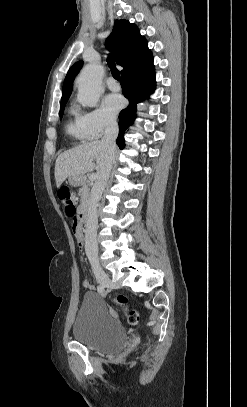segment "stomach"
I'll return each instance as SVG.
<instances>
[{"label": "stomach", "mask_w": 247, "mask_h": 407, "mask_svg": "<svg viewBox=\"0 0 247 407\" xmlns=\"http://www.w3.org/2000/svg\"><path fill=\"white\" fill-rule=\"evenodd\" d=\"M68 182L72 186H81L84 184L85 180H84L83 176H70L68 178Z\"/></svg>", "instance_id": "stomach-1"}]
</instances>
